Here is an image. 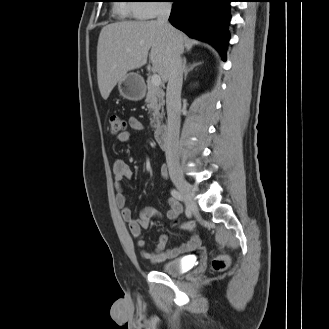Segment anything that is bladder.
<instances>
[{
    "instance_id": "obj_1",
    "label": "bladder",
    "mask_w": 329,
    "mask_h": 329,
    "mask_svg": "<svg viewBox=\"0 0 329 329\" xmlns=\"http://www.w3.org/2000/svg\"><path fill=\"white\" fill-rule=\"evenodd\" d=\"M187 258H172L162 262L160 272L167 275H179L185 271Z\"/></svg>"
}]
</instances>
